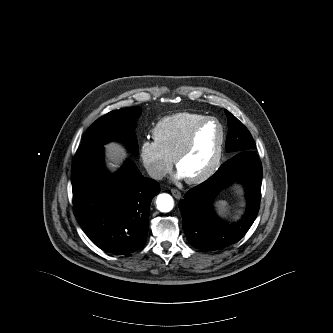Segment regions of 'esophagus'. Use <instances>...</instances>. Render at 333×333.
Returning <instances> with one entry per match:
<instances>
[{
	"mask_svg": "<svg viewBox=\"0 0 333 333\" xmlns=\"http://www.w3.org/2000/svg\"><path fill=\"white\" fill-rule=\"evenodd\" d=\"M171 193L172 195L176 198V199H180L181 198V192L177 189H171Z\"/></svg>",
	"mask_w": 333,
	"mask_h": 333,
	"instance_id": "34e87169",
	"label": "esophagus"
}]
</instances>
